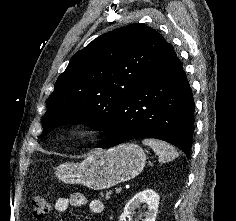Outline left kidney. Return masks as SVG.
I'll return each mask as SVG.
<instances>
[{"instance_id":"left-kidney-1","label":"left kidney","mask_w":236,"mask_h":221,"mask_svg":"<svg viewBox=\"0 0 236 221\" xmlns=\"http://www.w3.org/2000/svg\"><path fill=\"white\" fill-rule=\"evenodd\" d=\"M159 195L152 189L137 193L125 205L124 212L120 215L119 221H126V217L133 213L141 204L145 203L146 212L143 221H155L159 206Z\"/></svg>"}]
</instances>
